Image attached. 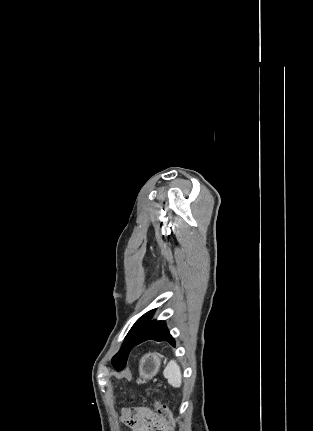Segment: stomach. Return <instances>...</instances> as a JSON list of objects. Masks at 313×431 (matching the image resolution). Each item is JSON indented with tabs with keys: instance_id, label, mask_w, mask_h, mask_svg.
<instances>
[{
	"instance_id": "stomach-1",
	"label": "stomach",
	"mask_w": 313,
	"mask_h": 431,
	"mask_svg": "<svg viewBox=\"0 0 313 431\" xmlns=\"http://www.w3.org/2000/svg\"><path fill=\"white\" fill-rule=\"evenodd\" d=\"M161 365L160 357L155 353L144 355L140 360L139 374L140 380H150L159 371Z\"/></svg>"
}]
</instances>
